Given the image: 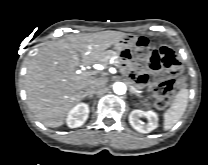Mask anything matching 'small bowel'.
Segmentation results:
<instances>
[{
  "label": "small bowel",
  "mask_w": 208,
  "mask_h": 165,
  "mask_svg": "<svg viewBox=\"0 0 208 165\" xmlns=\"http://www.w3.org/2000/svg\"><path fill=\"white\" fill-rule=\"evenodd\" d=\"M119 54L124 61H127L121 64V71L126 74L128 73L127 76L130 81H137L142 86H147L149 79L145 71L141 68L140 58L137 53L131 51L129 48H122ZM128 61H131L132 64Z\"/></svg>",
  "instance_id": "c3829d8e"
}]
</instances>
